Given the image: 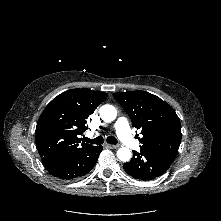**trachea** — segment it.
I'll return each instance as SVG.
<instances>
[{
  "label": "trachea",
  "instance_id": "3493384b",
  "mask_svg": "<svg viewBox=\"0 0 221 221\" xmlns=\"http://www.w3.org/2000/svg\"><path fill=\"white\" fill-rule=\"evenodd\" d=\"M83 141H86L87 143H91V144H96V145H100V144H102V143L104 142L102 136H98V137H96V138H94V139H89V138H87V137L84 136V137H83ZM107 142H108L109 144L115 145V144H117V139H116L114 136H109V137L107 138Z\"/></svg>",
  "mask_w": 221,
  "mask_h": 221
}]
</instances>
